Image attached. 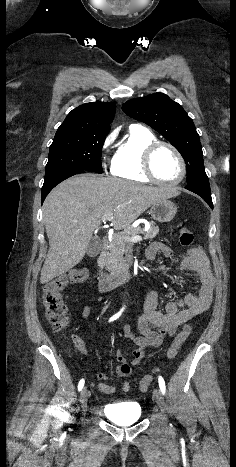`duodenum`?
Returning <instances> with one entry per match:
<instances>
[{"label":"duodenum","mask_w":236,"mask_h":467,"mask_svg":"<svg viewBox=\"0 0 236 467\" xmlns=\"http://www.w3.org/2000/svg\"><path fill=\"white\" fill-rule=\"evenodd\" d=\"M108 247V239L102 240V250L105 251ZM135 275L133 267H126L122 270L107 273L100 267L96 268L94 273L97 289L101 293L110 292L116 287L132 279Z\"/></svg>","instance_id":"duodenum-1"}]
</instances>
